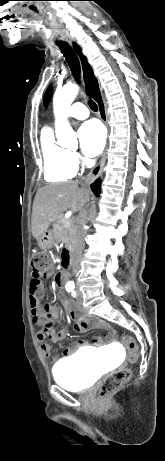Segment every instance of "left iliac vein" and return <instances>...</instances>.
<instances>
[{"label": "left iliac vein", "instance_id": "obj_1", "mask_svg": "<svg viewBox=\"0 0 165 461\" xmlns=\"http://www.w3.org/2000/svg\"><path fill=\"white\" fill-rule=\"evenodd\" d=\"M83 302V298H82V295L80 293H78V299H77V305L80 306Z\"/></svg>", "mask_w": 165, "mask_h": 461}]
</instances>
